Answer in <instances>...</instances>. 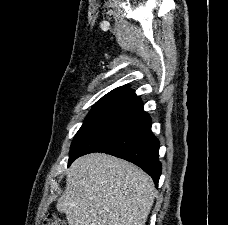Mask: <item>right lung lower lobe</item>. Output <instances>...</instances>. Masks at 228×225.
I'll list each match as a JSON object with an SVG mask.
<instances>
[{"mask_svg": "<svg viewBox=\"0 0 228 225\" xmlns=\"http://www.w3.org/2000/svg\"><path fill=\"white\" fill-rule=\"evenodd\" d=\"M159 146L151 132V118L136 97L82 140L70 153L68 166L82 155L104 152L136 164L153 178L157 187L161 175Z\"/></svg>", "mask_w": 228, "mask_h": 225, "instance_id": "obj_1", "label": "right lung lower lobe"}]
</instances>
